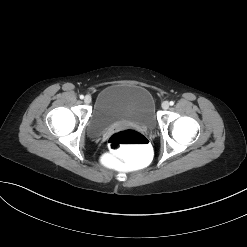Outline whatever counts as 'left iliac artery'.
Wrapping results in <instances>:
<instances>
[{
    "mask_svg": "<svg viewBox=\"0 0 247 247\" xmlns=\"http://www.w3.org/2000/svg\"><path fill=\"white\" fill-rule=\"evenodd\" d=\"M171 106H173L174 105V102L173 101H170V103H169Z\"/></svg>",
    "mask_w": 247,
    "mask_h": 247,
    "instance_id": "left-iliac-artery-1",
    "label": "left iliac artery"
}]
</instances>
